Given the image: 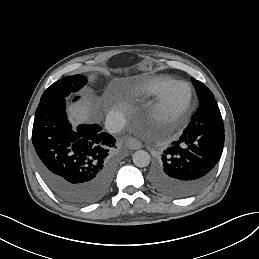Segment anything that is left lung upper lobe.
Segmentation results:
<instances>
[{
	"label": "left lung upper lobe",
	"mask_w": 259,
	"mask_h": 259,
	"mask_svg": "<svg viewBox=\"0 0 259 259\" xmlns=\"http://www.w3.org/2000/svg\"><path fill=\"white\" fill-rule=\"evenodd\" d=\"M191 81H192L193 85L195 86L199 100L202 98H205L207 96H214L213 93L211 92V90L206 85L201 83L200 81H198L194 78H191Z\"/></svg>",
	"instance_id": "left-lung-upper-lobe-1"
}]
</instances>
